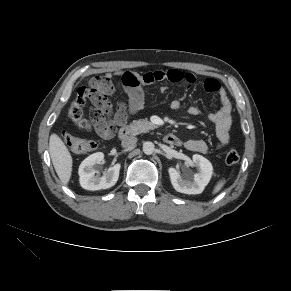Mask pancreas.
<instances>
[{"mask_svg":"<svg viewBox=\"0 0 291 291\" xmlns=\"http://www.w3.org/2000/svg\"><path fill=\"white\" fill-rule=\"evenodd\" d=\"M156 126L144 119L134 120L129 124L128 129L132 135H138L143 132H147L150 129H154Z\"/></svg>","mask_w":291,"mask_h":291,"instance_id":"obj_1","label":"pancreas"}]
</instances>
